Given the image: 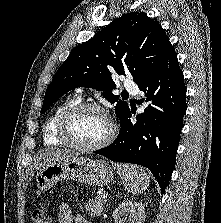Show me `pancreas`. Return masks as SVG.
I'll return each instance as SVG.
<instances>
[{"label":"pancreas","mask_w":221,"mask_h":223,"mask_svg":"<svg viewBox=\"0 0 221 223\" xmlns=\"http://www.w3.org/2000/svg\"><path fill=\"white\" fill-rule=\"evenodd\" d=\"M106 202L107 197H104L103 195L96 196L94 199L89 200L87 205H85V209L90 216H100Z\"/></svg>","instance_id":"pancreas-1"}]
</instances>
